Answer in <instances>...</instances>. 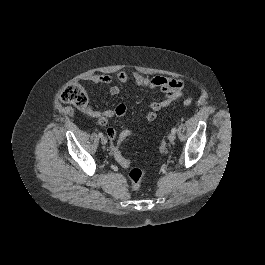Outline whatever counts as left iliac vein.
I'll return each mask as SVG.
<instances>
[{
  "label": "left iliac vein",
  "mask_w": 265,
  "mask_h": 265,
  "mask_svg": "<svg viewBox=\"0 0 265 265\" xmlns=\"http://www.w3.org/2000/svg\"><path fill=\"white\" fill-rule=\"evenodd\" d=\"M175 138H176L175 133H170L169 136H168V140H169L170 142H173V141L175 140Z\"/></svg>",
  "instance_id": "obj_1"
}]
</instances>
